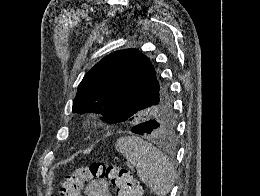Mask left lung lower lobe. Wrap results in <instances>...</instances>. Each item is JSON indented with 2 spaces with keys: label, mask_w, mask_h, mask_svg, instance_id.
<instances>
[{
  "label": "left lung lower lobe",
  "mask_w": 260,
  "mask_h": 196,
  "mask_svg": "<svg viewBox=\"0 0 260 196\" xmlns=\"http://www.w3.org/2000/svg\"><path fill=\"white\" fill-rule=\"evenodd\" d=\"M135 112V109L119 106L115 109H108L102 113L104 120L109 123H119L127 121ZM155 128V123L151 120L139 123L131 128V131L140 135H151Z\"/></svg>",
  "instance_id": "obj_1"
}]
</instances>
